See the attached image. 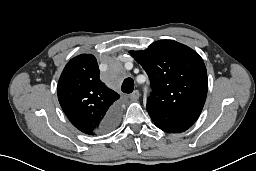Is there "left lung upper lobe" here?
I'll list each match as a JSON object with an SVG mask.
<instances>
[{"instance_id": "1", "label": "left lung upper lobe", "mask_w": 256, "mask_h": 171, "mask_svg": "<svg viewBox=\"0 0 256 171\" xmlns=\"http://www.w3.org/2000/svg\"><path fill=\"white\" fill-rule=\"evenodd\" d=\"M129 53L151 80L147 111L155 125L169 133L190 128L201 114L208 89L206 67L198 53L173 40H159Z\"/></svg>"}]
</instances>
